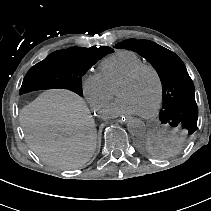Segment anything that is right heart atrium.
I'll return each mask as SVG.
<instances>
[{
	"instance_id": "right-heart-atrium-1",
	"label": "right heart atrium",
	"mask_w": 211,
	"mask_h": 211,
	"mask_svg": "<svg viewBox=\"0 0 211 211\" xmlns=\"http://www.w3.org/2000/svg\"><path fill=\"white\" fill-rule=\"evenodd\" d=\"M82 91L88 103L95 111H102L112 98L111 87L100 73H93L83 78Z\"/></svg>"
}]
</instances>
